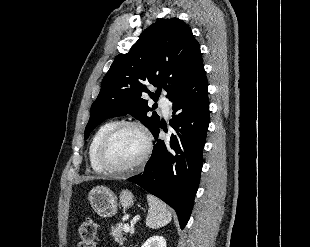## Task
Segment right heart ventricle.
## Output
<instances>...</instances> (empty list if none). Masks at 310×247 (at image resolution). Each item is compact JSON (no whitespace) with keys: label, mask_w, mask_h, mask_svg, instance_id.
Here are the masks:
<instances>
[{"label":"right heart ventricle","mask_w":310,"mask_h":247,"mask_svg":"<svg viewBox=\"0 0 310 247\" xmlns=\"http://www.w3.org/2000/svg\"><path fill=\"white\" fill-rule=\"evenodd\" d=\"M117 123L118 122L116 120H112V121H108L102 124L96 130V132L94 133L91 139L89 150H88L89 162H90V166L92 167V169L97 173L103 172V169L99 166L97 162V157H96L98 146L101 140L103 139V137L105 136V134Z\"/></svg>","instance_id":"obj_1"}]
</instances>
